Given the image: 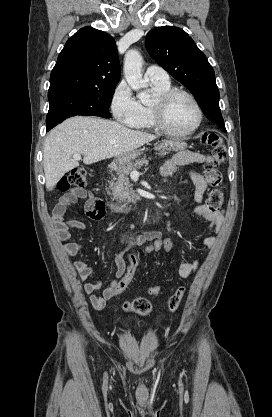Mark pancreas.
<instances>
[{
    "instance_id": "1",
    "label": "pancreas",
    "mask_w": 272,
    "mask_h": 417,
    "mask_svg": "<svg viewBox=\"0 0 272 417\" xmlns=\"http://www.w3.org/2000/svg\"><path fill=\"white\" fill-rule=\"evenodd\" d=\"M149 160L146 157L136 160L133 163H129L125 167L117 171V178L110 184V190L112 196L120 204L127 205L128 203H135L138 196L132 188L129 181V174L143 165L147 166Z\"/></svg>"
}]
</instances>
